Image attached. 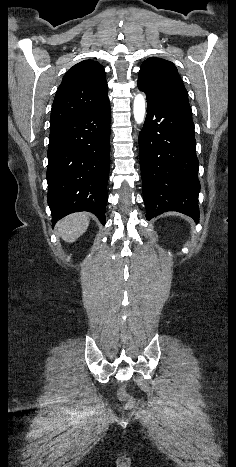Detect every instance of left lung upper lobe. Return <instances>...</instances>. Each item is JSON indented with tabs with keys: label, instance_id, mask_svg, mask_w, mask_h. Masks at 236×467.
<instances>
[{
	"label": "left lung upper lobe",
	"instance_id": "1",
	"mask_svg": "<svg viewBox=\"0 0 236 467\" xmlns=\"http://www.w3.org/2000/svg\"><path fill=\"white\" fill-rule=\"evenodd\" d=\"M138 88L145 92L149 101L189 105L188 92L176 66L165 59L150 57L142 63Z\"/></svg>",
	"mask_w": 236,
	"mask_h": 467
}]
</instances>
